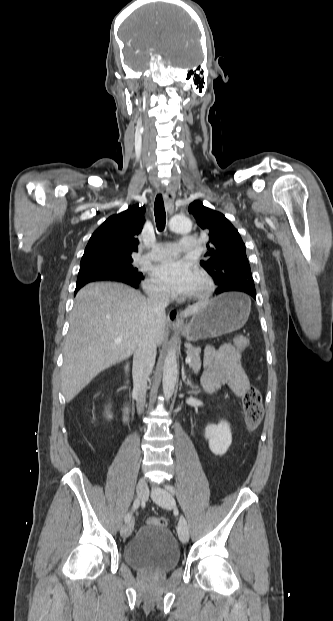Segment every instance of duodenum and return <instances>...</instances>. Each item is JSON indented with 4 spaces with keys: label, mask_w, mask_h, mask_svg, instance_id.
Listing matches in <instances>:
<instances>
[{
    "label": "duodenum",
    "mask_w": 333,
    "mask_h": 621,
    "mask_svg": "<svg viewBox=\"0 0 333 621\" xmlns=\"http://www.w3.org/2000/svg\"><path fill=\"white\" fill-rule=\"evenodd\" d=\"M128 371H129V366L127 365L125 367V382H124L125 383V387H128V385H129V380L127 378ZM130 413H131L130 404L128 403V401H126L124 403V406H123V421H124V423H128L129 422V420H130Z\"/></svg>",
    "instance_id": "410a0bca"
}]
</instances>
